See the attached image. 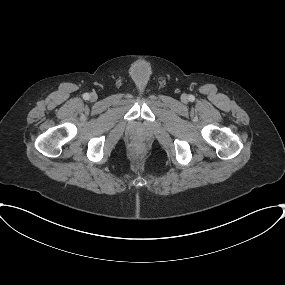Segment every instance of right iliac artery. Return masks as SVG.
Masks as SVG:
<instances>
[{
  "instance_id": "82829eb1",
  "label": "right iliac artery",
  "mask_w": 285,
  "mask_h": 285,
  "mask_svg": "<svg viewBox=\"0 0 285 285\" xmlns=\"http://www.w3.org/2000/svg\"><path fill=\"white\" fill-rule=\"evenodd\" d=\"M83 98L85 100H88L90 98V95L88 93L83 94Z\"/></svg>"
}]
</instances>
